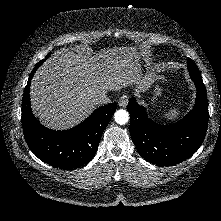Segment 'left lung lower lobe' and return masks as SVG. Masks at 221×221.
Listing matches in <instances>:
<instances>
[{"label": "left lung lower lobe", "mask_w": 221, "mask_h": 221, "mask_svg": "<svg viewBox=\"0 0 221 221\" xmlns=\"http://www.w3.org/2000/svg\"><path fill=\"white\" fill-rule=\"evenodd\" d=\"M197 89L193 109L181 121L160 125L151 120L145 107L131 98L130 134L139 154L158 166L178 164L192 156L201 146L208 126V102L201 79L192 78Z\"/></svg>", "instance_id": "left-lung-lower-lobe-1"}]
</instances>
